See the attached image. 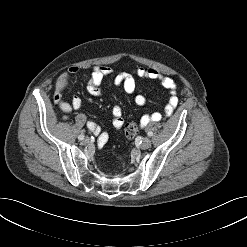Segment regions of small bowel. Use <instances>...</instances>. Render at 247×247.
<instances>
[{
    "label": "small bowel",
    "mask_w": 247,
    "mask_h": 247,
    "mask_svg": "<svg viewBox=\"0 0 247 247\" xmlns=\"http://www.w3.org/2000/svg\"><path fill=\"white\" fill-rule=\"evenodd\" d=\"M79 68L72 66L69 68V73L72 75L78 74ZM113 72L112 68L108 66H98L92 71L88 80L86 90L90 95L97 96L100 94L101 84L103 80L111 75ZM143 80H158L161 85L170 92V97L166 103L164 113L153 112L142 116L140 125L146 126L150 122H156L161 120L163 117H169L173 113L174 109L178 104V97L176 95V84L170 77L162 75L159 71L154 68H143L137 67L131 72L120 71L114 78V84L116 86L123 87L124 91L133 96L134 102L138 106H142L146 102V98L143 94L136 93V79ZM63 85H59L57 94L55 96V103L59 109L64 113L68 114L72 110H76L82 107L83 99L80 96H74L71 102H67L62 98ZM113 126L116 129H121L124 126L123 109L120 105H115L112 109ZM67 118L66 115L63 116ZM87 128L98 137V143L103 146L108 141V134L103 132L98 124L95 122H87Z\"/></svg>",
    "instance_id": "obj_1"
}]
</instances>
